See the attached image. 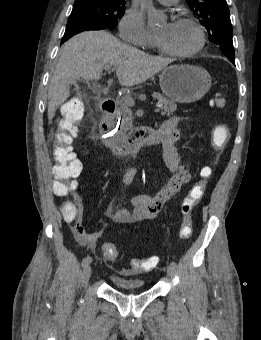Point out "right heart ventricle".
Returning a JSON list of instances; mask_svg holds the SVG:
<instances>
[{
  "mask_svg": "<svg viewBox=\"0 0 261 340\" xmlns=\"http://www.w3.org/2000/svg\"><path fill=\"white\" fill-rule=\"evenodd\" d=\"M148 47H151V48H154V47H156V43H155V41H153Z\"/></svg>",
  "mask_w": 261,
  "mask_h": 340,
  "instance_id": "obj_1",
  "label": "right heart ventricle"
}]
</instances>
